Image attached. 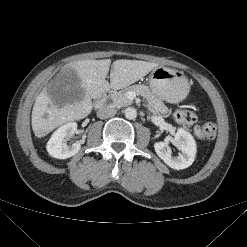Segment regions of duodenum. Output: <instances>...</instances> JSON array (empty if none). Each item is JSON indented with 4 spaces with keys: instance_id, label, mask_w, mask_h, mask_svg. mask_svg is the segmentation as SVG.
Segmentation results:
<instances>
[{
    "instance_id": "obj_1",
    "label": "duodenum",
    "mask_w": 247,
    "mask_h": 247,
    "mask_svg": "<svg viewBox=\"0 0 247 247\" xmlns=\"http://www.w3.org/2000/svg\"><path fill=\"white\" fill-rule=\"evenodd\" d=\"M108 95V93H105V96H107ZM97 108L98 109H100V108H102L103 107V99L102 100H99L98 102H97Z\"/></svg>"
}]
</instances>
